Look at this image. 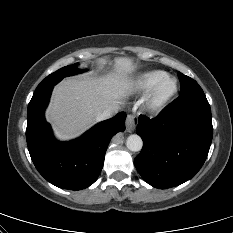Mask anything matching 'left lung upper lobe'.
Masks as SVG:
<instances>
[{"label":"left lung upper lobe","instance_id":"obj_1","mask_svg":"<svg viewBox=\"0 0 233 233\" xmlns=\"http://www.w3.org/2000/svg\"><path fill=\"white\" fill-rule=\"evenodd\" d=\"M178 77H179L180 83H181V93L182 94L203 92L202 88L192 78H190L186 75H183L180 72H178Z\"/></svg>","mask_w":233,"mask_h":233}]
</instances>
